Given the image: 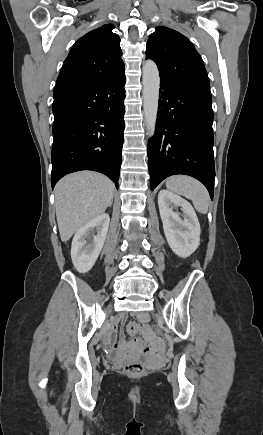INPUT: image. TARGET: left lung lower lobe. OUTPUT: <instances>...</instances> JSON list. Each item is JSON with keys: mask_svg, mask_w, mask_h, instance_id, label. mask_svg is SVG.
Masks as SVG:
<instances>
[{"mask_svg": "<svg viewBox=\"0 0 263 435\" xmlns=\"http://www.w3.org/2000/svg\"><path fill=\"white\" fill-rule=\"evenodd\" d=\"M209 93L161 80L156 130L148 144L151 190L185 174L214 193L213 110Z\"/></svg>", "mask_w": 263, "mask_h": 435, "instance_id": "1", "label": "left lung lower lobe"}]
</instances>
